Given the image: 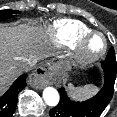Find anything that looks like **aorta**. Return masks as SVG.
I'll return each mask as SVG.
<instances>
[{
  "label": "aorta",
  "instance_id": "762f6f07",
  "mask_svg": "<svg viewBox=\"0 0 117 117\" xmlns=\"http://www.w3.org/2000/svg\"><path fill=\"white\" fill-rule=\"evenodd\" d=\"M43 99L48 106L54 107L59 103L60 96L53 87H46L43 91Z\"/></svg>",
  "mask_w": 117,
  "mask_h": 117
}]
</instances>
